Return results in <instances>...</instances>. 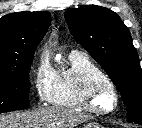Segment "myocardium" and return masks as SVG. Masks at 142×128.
Returning a JSON list of instances; mask_svg holds the SVG:
<instances>
[{
	"label": "myocardium",
	"instance_id": "f54148a6",
	"mask_svg": "<svg viewBox=\"0 0 142 128\" xmlns=\"http://www.w3.org/2000/svg\"><path fill=\"white\" fill-rule=\"evenodd\" d=\"M102 86L107 87L113 97V104L107 109L99 107L95 102V95ZM78 100L84 110L97 115H107L116 110L119 103V95L114 83L109 77L105 74H95L86 77L82 81L78 92Z\"/></svg>",
	"mask_w": 142,
	"mask_h": 128
}]
</instances>
